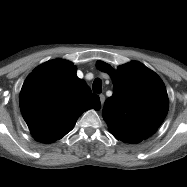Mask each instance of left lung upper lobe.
<instances>
[{
    "instance_id": "left-lung-upper-lobe-1",
    "label": "left lung upper lobe",
    "mask_w": 187,
    "mask_h": 187,
    "mask_svg": "<svg viewBox=\"0 0 187 187\" xmlns=\"http://www.w3.org/2000/svg\"><path fill=\"white\" fill-rule=\"evenodd\" d=\"M97 68L109 73L113 81V95L105 101L102 114L109 132L128 143H139L151 136L162 124L169 107L160 77L137 61L116 71L99 61Z\"/></svg>"
}]
</instances>
